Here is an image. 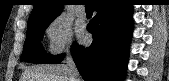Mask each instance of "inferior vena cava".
<instances>
[{
	"label": "inferior vena cava",
	"instance_id": "602c4592",
	"mask_svg": "<svg viewBox=\"0 0 169 81\" xmlns=\"http://www.w3.org/2000/svg\"><path fill=\"white\" fill-rule=\"evenodd\" d=\"M66 70L69 75L70 81H81L80 74L69 51L66 55Z\"/></svg>",
	"mask_w": 169,
	"mask_h": 81
}]
</instances>
